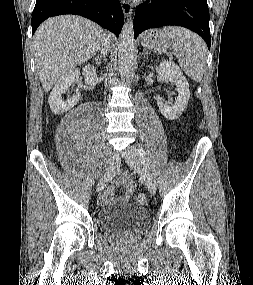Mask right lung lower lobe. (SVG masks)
<instances>
[{"instance_id":"98d812e1","label":"right lung lower lobe","mask_w":253,"mask_h":285,"mask_svg":"<svg viewBox=\"0 0 253 285\" xmlns=\"http://www.w3.org/2000/svg\"><path fill=\"white\" fill-rule=\"evenodd\" d=\"M61 14L81 15L119 35L124 15L118 0H36L32 35L47 18Z\"/></svg>"}]
</instances>
